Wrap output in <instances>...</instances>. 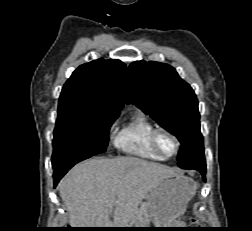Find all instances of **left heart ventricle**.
<instances>
[{"mask_svg": "<svg viewBox=\"0 0 252 231\" xmlns=\"http://www.w3.org/2000/svg\"><path fill=\"white\" fill-rule=\"evenodd\" d=\"M159 146L162 152L166 155H170L175 151V141L167 134H161L159 137Z\"/></svg>", "mask_w": 252, "mask_h": 231, "instance_id": "b2bd125f", "label": "left heart ventricle"}]
</instances>
